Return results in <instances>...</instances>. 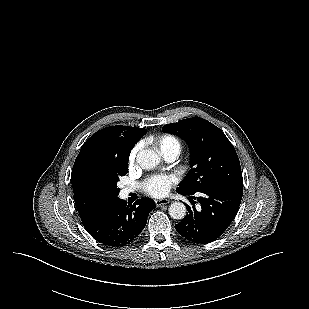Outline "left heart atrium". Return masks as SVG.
<instances>
[{"instance_id":"left-heart-atrium-1","label":"left heart atrium","mask_w":309,"mask_h":309,"mask_svg":"<svg viewBox=\"0 0 309 309\" xmlns=\"http://www.w3.org/2000/svg\"><path fill=\"white\" fill-rule=\"evenodd\" d=\"M175 181L176 180L173 176L153 175L145 180L143 188L148 195L153 197H163L169 192Z\"/></svg>"}]
</instances>
